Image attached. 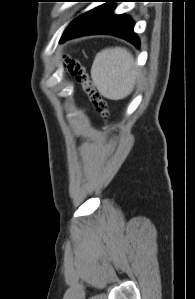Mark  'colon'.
Returning a JSON list of instances; mask_svg holds the SVG:
<instances>
[{
  "label": "colon",
  "instance_id": "colon-1",
  "mask_svg": "<svg viewBox=\"0 0 195 299\" xmlns=\"http://www.w3.org/2000/svg\"><path fill=\"white\" fill-rule=\"evenodd\" d=\"M66 67L82 85L84 92L93 100L96 108L104 114L107 113V104L97 93L85 66L77 59H67Z\"/></svg>",
  "mask_w": 195,
  "mask_h": 299
}]
</instances>
